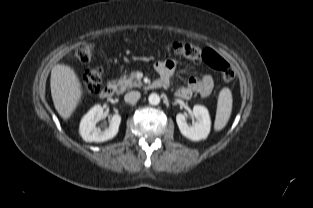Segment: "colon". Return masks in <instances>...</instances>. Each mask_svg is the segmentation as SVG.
Here are the masks:
<instances>
[{
	"label": "colon",
	"mask_w": 313,
	"mask_h": 208,
	"mask_svg": "<svg viewBox=\"0 0 313 208\" xmlns=\"http://www.w3.org/2000/svg\"><path fill=\"white\" fill-rule=\"evenodd\" d=\"M167 50L194 62L204 61L210 67L217 70L226 82H231L235 78L234 69L212 49L201 50L193 44L175 42L168 45ZM93 52V45L89 42H83L72 51V57L77 62L86 64L91 60ZM101 76L102 71L100 68H92L86 71L82 78L83 91L88 94H96L100 89Z\"/></svg>",
	"instance_id": "colon-1"
}]
</instances>
